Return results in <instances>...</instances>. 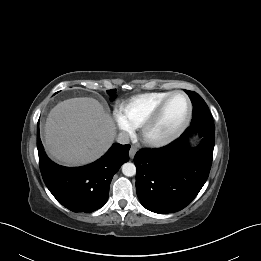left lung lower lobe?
Instances as JSON below:
<instances>
[{
	"instance_id": "left-lung-lower-lobe-1",
	"label": "left lung lower lobe",
	"mask_w": 261,
	"mask_h": 261,
	"mask_svg": "<svg viewBox=\"0 0 261 261\" xmlns=\"http://www.w3.org/2000/svg\"><path fill=\"white\" fill-rule=\"evenodd\" d=\"M203 137L188 146L194 133ZM215 126L190 125L175 141L159 149H142L134 157L136 191L148 210L167 214L185 208L205 184L213 157Z\"/></svg>"
}]
</instances>
